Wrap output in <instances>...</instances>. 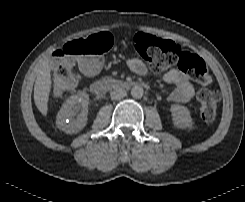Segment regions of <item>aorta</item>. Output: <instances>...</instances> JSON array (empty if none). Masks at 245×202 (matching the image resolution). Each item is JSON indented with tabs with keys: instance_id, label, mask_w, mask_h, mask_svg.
<instances>
[{
	"instance_id": "aorta-1",
	"label": "aorta",
	"mask_w": 245,
	"mask_h": 202,
	"mask_svg": "<svg viewBox=\"0 0 245 202\" xmlns=\"http://www.w3.org/2000/svg\"><path fill=\"white\" fill-rule=\"evenodd\" d=\"M144 90L140 86H135L131 89V96L133 98L139 99L143 96Z\"/></svg>"
}]
</instances>
